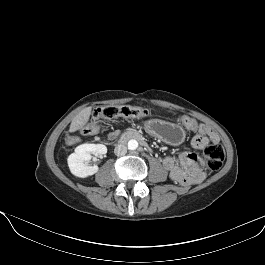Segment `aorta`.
Masks as SVG:
<instances>
[{
    "mask_svg": "<svg viewBox=\"0 0 265 265\" xmlns=\"http://www.w3.org/2000/svg\"><path fill=\"white\" fill-rule=\"evenodd\" d=\"M138 148V142L134 139L128 141V149L129 150H136Z\"/></svg>",
    "mask_w": 265,
    "mask_h": 265,
    "instance_id": "obj_1",
    "label": "aorta"
}]
</instances>
